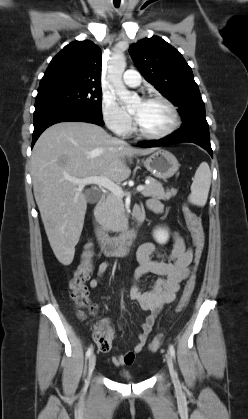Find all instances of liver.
<instances>
[{"instance_id":"liver-1","label":"liver","mask_w":248,"mask_h":419,"mask_svg":"<svg viewBox=\"0 0 248 419\" xmlns=\"http://www.w3.org/2000/svg\"><path fill=\"white\" fill-rule=\"evenodd\" d=\"M156 150L133 148L86 122H61L42 133L31 156L33 191L50 246L61 264L73 261L87 209L84 186L71 179L104 176L122 182L131 174L126 157Z\"/></svg>"}]
</instances>
